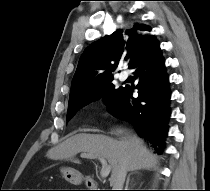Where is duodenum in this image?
<instances>
[{
    "label": "duodenum",
    "instance_id": "obj_1",
    "mask_svg": "<svg viewBox=\"0 0 210 191\" xmlns=\"http://www.w3.org/2000/svg\"><path fill=\"white\" fill-rule=\"evenodd\" d=\"M90 186H91V187H95L96 184H95V183H90Z\"/></svg>",
    "mask_w": 210,
    "mask_h": 191
}]
</instances>
